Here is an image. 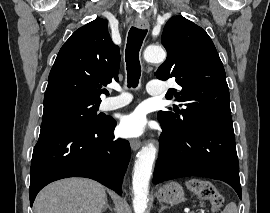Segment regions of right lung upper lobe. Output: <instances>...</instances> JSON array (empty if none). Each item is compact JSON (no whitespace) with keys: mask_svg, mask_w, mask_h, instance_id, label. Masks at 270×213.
<instances>
[{"mask_svg":"<svg viewBox=\"0 0 270 213\" xmlns=\"http://www.w3.org/2000/svg\"><path fill=\"white\" fill-rule=\"evenodd\" d=\"M101 18L77 29L60 49L50 71L44 106L78 100L100 103L102 85L118 80L120 51Z\"/></svg>","mask_w":270,"mask_h":213,"instance_id":"right-lung-upper-lobe-1","label":"right lung upper lobe"}]
</instances>
